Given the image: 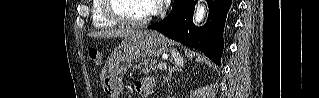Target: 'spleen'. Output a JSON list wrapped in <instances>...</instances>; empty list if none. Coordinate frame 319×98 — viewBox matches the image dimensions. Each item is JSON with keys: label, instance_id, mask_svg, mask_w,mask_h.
<instances>
[{"label": "spleen", "instance_id": "1", "mask_svg": "<svg viewBox=\"0 0 319 98\" xmlns=\"http://www.w3.org/2000/svg\"><path fill=\"white\" fill-rule=\"evenodd\" d=\"M171 54H172V57L174 58L175 60V64L178 65V66H183L184 64V59L183 57L179 54V52H177L176 50H171Z\"/></svg>", "mask_w": 319, "mask_h": 98}]
</instances>
